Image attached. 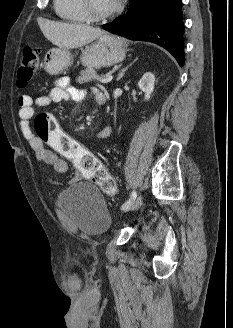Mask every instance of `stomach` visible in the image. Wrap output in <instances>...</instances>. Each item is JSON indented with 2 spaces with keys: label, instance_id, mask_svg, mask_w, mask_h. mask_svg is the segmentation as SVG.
<instances>
[{
  "label": "stomach",
  "instance_id": "obj_1",
  "mask_svg": "<svg viewBox=\"0 0 233 328\" xmlns=\"http://www.w3.org/2000/svg\"><path fill=\"white\" fill-rule=\"evenodd\" d=\"M126 55L124 39L104 33L95 42L81 49L80 61L89 68L109 67L121 62ZM73 55L69 49L52 48L44 57V69L57 75L72 64Z\"/></svg>",
  "mask_w": 233,
  "mask_h": 328
}]
</instances>
